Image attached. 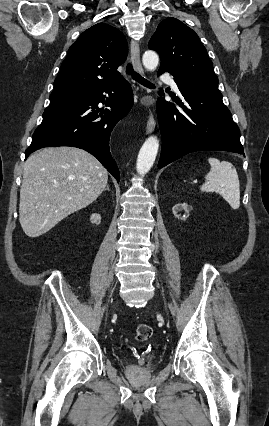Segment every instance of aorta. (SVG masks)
<instances>
[{
	"instance_id": "obj_1",
	"label": "aorta",
	"mask_w": 269,
	"mask_h": 426,
	"mask_svg": "<svg viewBox=\"0 0 269 426\" xmlns=\"http://www.w3.org/2000/svg\"><path fill=\"white\" fill-rule=\"evenodd\" d=\"M142 62L147 70H154L158 66L159 56L155 51L148 50L143 54ZM159 148V140L156 136L148 137L143 143L137 158L136 170L140 175L150 171L154 164Z\"/></svg>"
}]
</instances>
